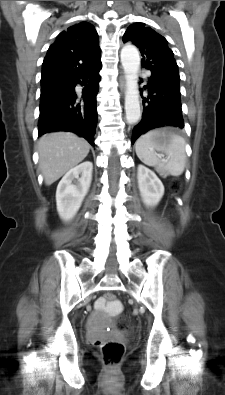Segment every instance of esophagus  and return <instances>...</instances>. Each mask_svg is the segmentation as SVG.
Segmentation results:
<instances>
[{
    "mask_svg": "<svg viewBox=\"0 0 225 395\" xmlns=\"http://www.w3.org/2000/svg\"><path fill=\"white\" fill-rule=\"evenodd\" d=\"M120 86H121V89L125 88V80H124L123 76L120 77Z\"/></svg>",
    "mask_w": 225,
    "mask_h": 395,
    "instance_id": "34e87169",
    "label": "esophagus"
}]
</instances>
